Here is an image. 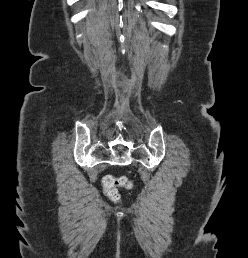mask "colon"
Returning a JSON list of instances; mask_svg holds the SVG:
<instances>
[{"label":"colon","instance_id":"colon-1","mask_svg":"<svg viewBox=\"0 0 248 258\" xmlns=\"http://www.w3.org/2000/svg\"><path fill=\"white\" fill-rule=\"evenodd\" d=\"M124 186L126 188L130 187V184L126 177H113L106 176L103 179V189L104 192L113 200L119 199V194L117 191V187Z\"/></svg>","mask_w":248,"mask_h":258}]
</instances>
